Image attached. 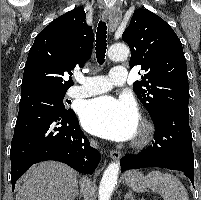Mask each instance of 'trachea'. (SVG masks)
Returning <instances> with one entry per match:
<instances>
[{"label": "trachea", "mask_w": 201, "mask_h": 200, "mask_svg": "<svg viewBox=\"0 0 201 200\" xmlns=\"http://www.w3.org/2000/svg\"><path fill=\"white\" fill-rule=\"evenodd\" d=\"M107 49V26L106 23L100 21L96 33V57L100 65L105 61V53Z\"/></svg>", "instance_id": "3493384b"}]
</instances>
